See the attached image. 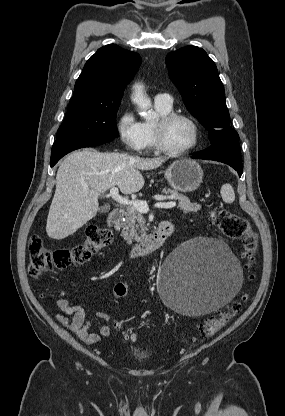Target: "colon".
I'll use <instances>...</instances> for the list:
<instances>
[{"mask_svg":"<svg viewBox=\"0 0 285 416\" xmlns=\"http://www.w3.org/2000/svg\"><path fill=\"white\" fill-rule=\"evenodd\" d=\"M209 221L219 228L223 234L231 239L241 240L243 244L242 257L247 266L252 267L256 260L258 239L249 222L242 216L231 213L223 207H215L209 213ZM112 233L96 225H90L85 232L82 243L72 248H49L44 245L42 239L34 235L29 240V273L34 277L41 276L48 271L64 269L72 264H81L87 261L112 241ZM128 287L125 283L115 285L113 295L116 300L126 297ZM246 296H241L231 304L215 313L208 321L197 326L198 334L203 337H211L228 325L241 310ZM115 326L121 328L116 322ZM132 339L131 335H126Z\"/></svg>","mask_w":285,"mask_h":416,"instance_id":"obj_1","label":"colon"}]
</instances>
